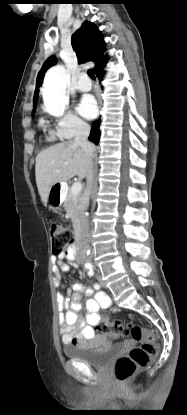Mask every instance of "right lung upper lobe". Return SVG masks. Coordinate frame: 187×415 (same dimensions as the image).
<instances>
[{"instance_id":"obj_1","label":"right lung upper lobe","mask_w":187,"mask_h":415,"mask_svg":"<svg viewBox=\"0 0 187 415\" xmlns=\"http://www.w3.org/2000/svg\"><path fill=\"white\" fill-rule=\"evenodd\" d=\"M72 47L76 52L78 62L85 63L93 61L95 67L93 71L96 73L106 62L104 57L105 42L103 41L100 31L93 23L85 21L82 26L72 35ZM56 63V59L51 56L43 64L38 73L36 88L33 98V110L36 109L39 86L43 82L45 72Z\"/></svg>"}]
</instances>
